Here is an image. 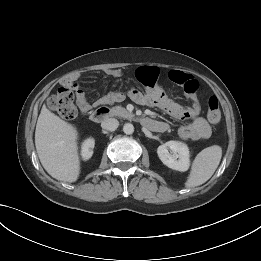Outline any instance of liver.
I'll return each instance as SVG.
<instances>
[{"label": "liver", "instance_id": "liver-1", "mask_svg": "<svg viewBox=\"0 0 261 261\" xmlns=\"http://www.w3.org/2000/svg\"><path fill=\"white\" fill-rule=\"evenodd\" d=\"M76 128L43 106L35 130V146L44 169L53 178L75 182L80 174Z\"/></svg>", "mask_w": 261, "mask_h": 261}]
</instances>
